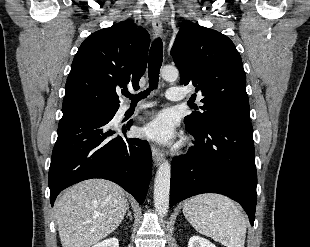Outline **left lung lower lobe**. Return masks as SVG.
Listing matches in <instances>:
<instances>
[{
    "label": "left lung lower lobe",
    "instance_id": "1",
    "mask_svg": "<svg viewBox=\"0 0 310 247\" xmlns=\"http://www.w3.org/2000/svg\"><path fill=\"white\" fill-rule=\"evenodd\" d=\"M186 129L196 142L172 160L170 207L197 194L219 193L240 203L253 225L257 172L251 123L220 121L202 132L186 124Z\"/></svg>",
    "mask_w": 310,
    "mask_h": 247
}]
</instances>
